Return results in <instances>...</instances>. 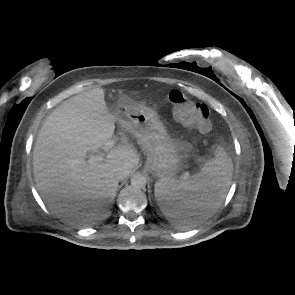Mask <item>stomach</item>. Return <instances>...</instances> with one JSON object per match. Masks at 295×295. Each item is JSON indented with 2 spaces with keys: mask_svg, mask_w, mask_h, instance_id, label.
I'll return each instance as SVG.
<instances>
[{
  "mask_svg": "<svg viewBox=\"0 0 295 295\" xmlns=\"http://www.w3.org/2000/svg\"><path fill=\"white\" fill-rule=\"evenodd\" d=\"M111 113L145 148L148 171L160 178L175 175L182 162L183 145L168 134L154 109L135 102H119L112 106ZM159 206L164 214L167 208Z\"/></svg>",
  "mask_w": 295,
  "mask_h": 295,
  "instance_id": "stomach-1",
  "label": "stomach"
}]
</instances>
